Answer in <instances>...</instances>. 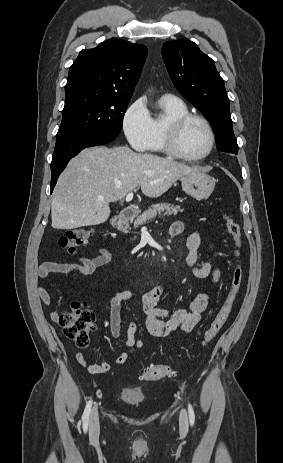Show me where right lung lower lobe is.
Returning a JSON list of instances; mask_svg holds the SVG:
<instances>
[{"label": "right lung lower lobe", "mask_w": 283, "mask_h": 463, "mask_svg": "<svg viewBox=\"0 0 283 463\" xmlns=\"http://www.w3.org/2000/svg\"><path fill=\"white\" fill-rule=\"evenodd\" d=\"M117 136L111 134H82L56 141L51 162V192L57 179L71 158L87 147L103 145L114 140Z\"/></svg>", "instance_id": "right-lung-lower-lobe-1"}]
</instances>
